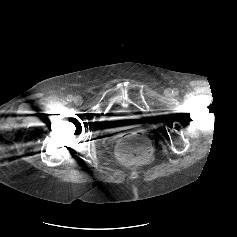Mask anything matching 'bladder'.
Returning a JSON list of instances; mask_svg holds the SVG:
<instances>
[{"label":"bladder","instance_id":"31cf9c89","mask_svg":"<svg viewBox=\"0 0 237 237\" xmlns=\"http://www.w3.org/2000/svg\"><path fill=\"white\" fill-rule=\"evenodd\" d=\"M139 116L129 113H113L110 114L104 122L103 130L105 132H115L122 128L135 126L139 123Z\"/></svg>","mask_w":237,"mask_h":237}]
</instances>
